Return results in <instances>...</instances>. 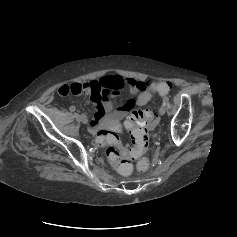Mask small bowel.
Segmentation results:
<instances>
[{
    "instance_id": "1",
    "label": "small bowel",
    "mask_w": 237,
    "mask_h": 237,
    "mask_svg": "<svg viewBox=\"0 0 237 237\" xmlns=\"http://www.w3.org/2000/svg\"><path fill=\"white\" fill-rule=\"evenodd\" d=\"M153 80L141 81L134 78H123L119 75L105 76L99 80L83 83H70L61 85L58 93L61 96L69 94L90 95L91 101L96 107L89 130L96 132L100 128H118L120 122L136 107L146 105L152 98L151 84ZM127 85L133 95L124 105L113 109L108 96L116 97L119 90Z\"/></svg>"
}]
</instances>
